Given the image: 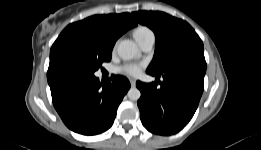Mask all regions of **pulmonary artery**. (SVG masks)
Wrapping results in <instances>:
<instances>
[{
	"instance_id": "pulmonary-artery-1",
	"label": "pulmonary artery",
	"mask_w": 261,
	"mask_h": 150,
	"mask_svg": "<svg viewBox=\"0 0 261 150\" xmlns=\"http://www.w3.org/2000/svg\"><path fill=\"white\" fill-rule=\"evenodd\" d=\"M137 42L143 51L148 52L153 48L155 44V35L152 31H150L146 33L142 38H140Z\"/></svg>"
}]
</instances>
